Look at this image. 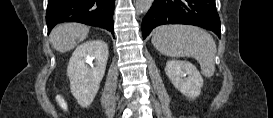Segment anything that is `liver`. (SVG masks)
<instances>
[{
	"label": "liver",
	"instance_id": "liver-1",
	"mask_svg": "<svg viewBox=\"0 0 273 118\" xmlns=\"http://www.w3.org/2000/svg\"><path fill=\"white\" fill-rule=\"evenodd\" d=\"M89 33V27L67 23L56 26L51 34L50 41L54 49L61 53H65L75 48V46L84 41Z\"/></svg>",
	"mask_w": 273,
	"mask_h": 118
}]
</instances>
